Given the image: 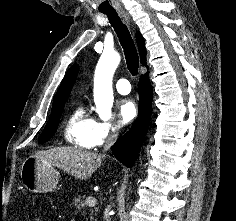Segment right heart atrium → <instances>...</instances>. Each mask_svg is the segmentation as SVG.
<instances>
[{"label":"right heart atrium","mask_w":236,"mask_h":221,"mask_svg":"<svg viewBox=\"0 0 236 221\" xmlns=\"http://www.w3.org/2000/svg\"><path fill=\"white\" fill-rule=\"evenodd\" d=\"M120 124L112 120H95L92 130V147H100L108 141L115 139L120 132Z\"/></svg>","instance_id":"1"}]
</instances>
